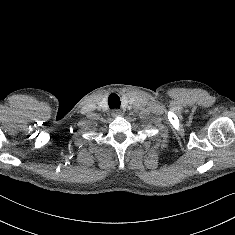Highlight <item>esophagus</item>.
<instances>
[{
  "label": "esophagus",
  "instance_id": "obj_1",
  "mask_svg": "<svg viewBox=\"0 0 235 235\" xmlns=\"http://www.w3.org/2000/svg\"><path fill=\"white\" fill-rule=\"evenodd\" d=\"M112 116L113 117H118V116H122V112L119 109H114L112 111Z\"/></svg>",
  "mask_w": 235,
  "mask_h": 235
}]
</instances>
